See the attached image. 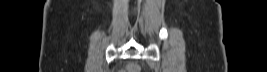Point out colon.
I'll list each match as a JSON object with an SVG mask.
<instances>
[{"instance_id":"5ec220e1","label":"colon","mask_w":267,"mask_h":72,"mask_svg":"<svg viewBox=\"0 0 267 72\" xmlns=\"http://www.w3.org/2000/svg\"><path fill=\"white\" fill-rule=\"evenodd\" d=\"M130 71H137V68L136 67H130Z\"/></svg>"}]
</instances>
